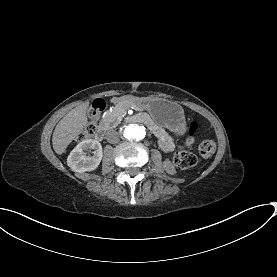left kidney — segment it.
Returning <instances> with one entry per match:
<instances>
[{
  "mask_svg": "<svg viewBox=\"0 0 277 277\" xmlns=\"http://www.w3.org/2000/svg\"><path fill=\"white\" fill-rule=\"evenodd\" d=\"M163 168H164L165 172L169 175L176 174L175 166L172 164V162L169 159H165L163 161Z\"/></svg>",
  "mask_w": 277,
  "mask_h": 277,
  "instance_id": "left-kidney-1",
  "label": "left kidney"
}]
</instances>
